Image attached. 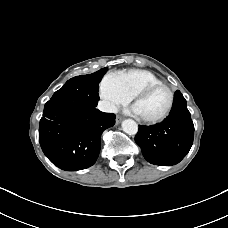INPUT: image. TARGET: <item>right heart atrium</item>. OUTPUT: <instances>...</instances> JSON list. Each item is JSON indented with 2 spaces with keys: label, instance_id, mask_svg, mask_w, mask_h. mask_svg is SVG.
<instances>
[{
  "label": "right heart atrium",
  "instance_id": "1",
  "mask_svg": "<svg viewBox=\"0 0 228 228\" xmlns=\"http://www.w3.org/2000/svg\"><path fill=\"white\" fill-rule=\"evenodd\" d=\"M99 94L103 107L108 112H114L120 106L128 104L131 97L125 92L116 74H106L99 84Z\"/></svg>",
  "mask_w": 228,
  "mask_h": 228
}]
</instances>
